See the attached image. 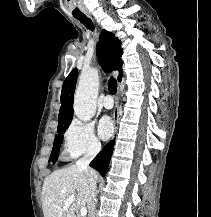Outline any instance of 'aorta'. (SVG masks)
Returning a JSON list of instances; mask_svg holds the SVG:
<instances>
[{
	"label": "aorta",
	"mask_w": 211,
	"mask_h": 217,
	"mask_svg": "<svg viewBox=\"0 0 211 217\" xmlns=\"http://www.w3.org/2000/svg\"><path fill=\"white\" fill-rule=\"evenodd\" d=\"M98 88V70H83L74 97V114L80 120L89 121L95 115Z\"/></svg>",
	"instance_id": "obj_1"
}]
</instances>
